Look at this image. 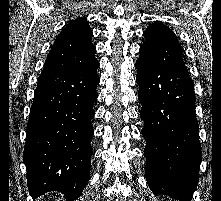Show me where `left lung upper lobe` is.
Here are the masks:
<instances>
[{
  "instance_id": "5c2ea615",
  "label": "left lung upper lobe",
  "mask_w": 221,
  "mask_h": 201,
  "mask_svg": "<svg viewBox=\"0 0 221 201\" xmlns=\"http://www.w3.org/2000/svg\"><path fill=\"white\" fill-rule=\"evenodd\" d=\"M143 36L145 42L139 49V58L158 67L188 75L182 57V47L169 27L155 22L148 26Z\"/></svg>"
}]
</instances>
